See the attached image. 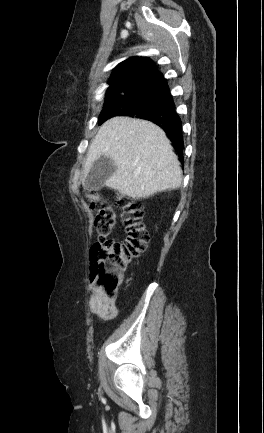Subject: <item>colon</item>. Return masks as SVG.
<instances>
[{"instance_id": "obj_1", "label": "colon", "mask_w": 264, "mask_h": 433, "mask_svg": "<svg viewBox=\"0 0 264 433\" xmlns=\"http://www.w3.org/2000/svg\"><path fill=\"white\" fill-rule=\"evenodd\" d=\"M91 208L97 211L94 221L98 241L91 247L90 272L93 280L107 297H116L128 264L138 258L149 241L143 222V204L136 199L119 195L115 206L122 211L126 236L123 241L112 240L110 235L116 225V213L95 191H88Z\"/></svg>"}]
</instances>
